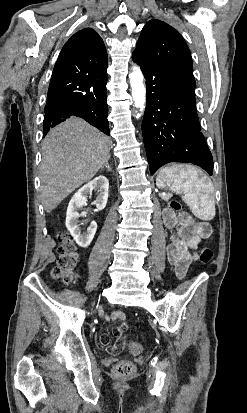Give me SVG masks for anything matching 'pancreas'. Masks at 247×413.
I'll return each instance as SVG.
<instances>
[{
    "instance_id": "obj_1",
    "label": "pancreas",
    "mask_w": 247,
    "mask_h": 413,
    "mask_svg": "<svg viewBox=\"0 0 247 413\" xmlns=\"http://www.w3.org/2000/svg\"><path fill=\"white\" fill-rule=\"evenodd\" d=\"M161 198H163V200H169V198H171L172 194L171 192H168V194H160Z\"/></svg>"
}]
</instances>
